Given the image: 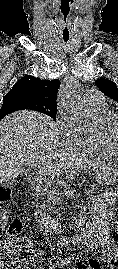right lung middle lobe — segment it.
Here are the masks:
<instances>
[{
	"label": "right lung middle lobe",
	"mask_w": 118,
	"mask_h": 269,
	"mask_svg": "<svg viewBox=\"0 0 118 269\" xmlns=\"http://www.w3.org/2000/svg\"><path fill=\"white\" fill-rule=\"evenodd\" d=\"M29 109L46 114L55 120L56 118V105H42L30 99L27 96L19 94L5 95L3 105L0 109V119L9 113Z\"/></svg>",
	"instance_id": "obj_1"
}]
</instances>
